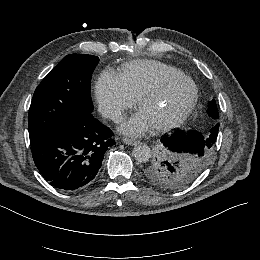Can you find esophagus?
Instances as JSON below:
<instances>
[{
  "mask_svg": "<svg viewBox=\"0 0 260 260\" xmlns=\"http://www.w3.org/2000/svg\"><path fill=\"white\" fill-rule=\"evenodd\" d=\"M123 142H124L126 145H136V144L139 143L138 140L133 139V138H124V139H123Z\"/></svg>",
  "mask_w": 260,
  "mask_h": 260,
  "instance_id": "esophagus-1",
  "label": "esophagus"
}]
</instances>
